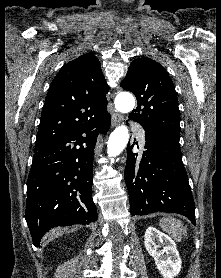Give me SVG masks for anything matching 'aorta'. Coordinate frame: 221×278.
<instances>
[{"instance_id":"obj_1","label":"aorta","mask_w":221,"mask_h":278,"mask_svg":"<svg viewBox=\"0 0 221 278\" xmlns=\"http://www.w3.org/2000/svg\"><path fill=\"white\" fill-rule=\"evenodd\" d=\"M135 99L130 93H121L115 99V107L119 112L128 113L133 110ZM129 140V130L121 125L115 128L111 133L107 145V154L109 157L119 155L126 147Z\"/></svg>"}]
</instances>
